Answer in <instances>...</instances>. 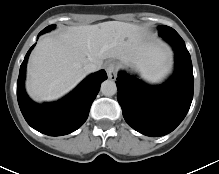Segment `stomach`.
I'll return each instance as SVG.
<instances>
[{
    "label": "stomach",
    "instance_id": "0dacf381",
    "mask_svg": "<svg viewBox=\"0 0 219 174\" xmlns=\"http://www.w3.org/2000/svg\"><path fill=\"white\" fill-rule=\"evenodd\" d=\"M127 66H131V64H127Z\"/></svg>",
    "mask_w": 219,
    "mask_h": 174
}]
</instances>
